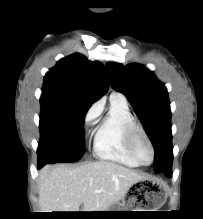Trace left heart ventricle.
<instances>
[{
  "mask_svg": "<svg viewBox=\"0 0 203 219\" xmlns=\"http://www.w3.org/2000/svg\"><path fill=\"white\" fill-rule=\"evenodd\" d=\"M136 150L143 162L149 163L151 161L152 153L150 147L142 136H139L136 140Z\"/></svg>",
  "mask_w": 203,
  "mask_h": 219,
  "instance_id": "obj_1",
  "label": "left heart ventricle"
}]
</instances>
